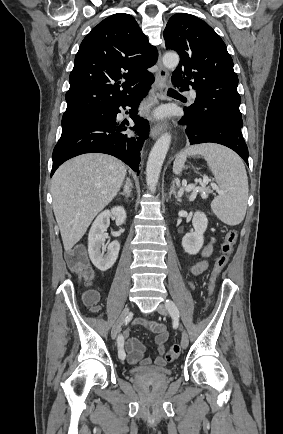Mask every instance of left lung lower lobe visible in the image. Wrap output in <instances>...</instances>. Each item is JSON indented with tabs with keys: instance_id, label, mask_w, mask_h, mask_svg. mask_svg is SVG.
<instances>
[{
	"instance_id": "1",
	"label": "left lung lower lobe",
	"mask_w": 283,
	"mask_h": 434,
	"mask_svg": "<svg viewBox=\"0 0 283 434\" xmlns=\"http://www.w3.org/2000/svg\"><path fill=\"white\" fill-rule=\"evenodd\" d=\"M172 84L181 87L173 82ZM186 90L185 87L180 88V91ZM184 112L180 124L185 126L191 145L212 142L227 146L248 165V148L241 132V117L217 109H205L199 115L190 114L186 110Z\"/></svg>"
}]
</instances>
